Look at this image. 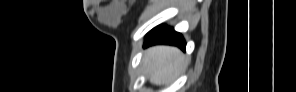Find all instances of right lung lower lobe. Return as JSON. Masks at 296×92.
<instances>
[{"instance_id": "obj_1", "label": "right lung lower lobe", "mask_w": 296, "mask_h": 92, "mask_svg": "<svg viewBox=\"0 0 296 92\" xmlns=\"http://www.w3.org/2000/svg\"><path fill=\"white\" fill-rule=\"evenodd\" d=\"M154 44L176 45L183 50L186 46L180 33L175 32L173 28L162 25L154 28L146 35L144 47Z\"/></svg>"}]
</instances>
